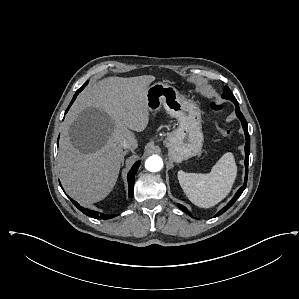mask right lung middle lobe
<instances>
[{
  "instance_id": "dd1d6c3e",
  "label": "right lung middle lobe",
  "mask_w": 299,
  "mask_h": 299,
  "mask_svg": "<svg viewBox=\"0 0 299 299\" xmlns=\"http://www.w3.org/2000/svg\"><path fill=\"white\" fill-rule=\"evenodd\" d=\"M88 81L82 86V87H85L87 85Z\"/></svg>"
}]
</instances>
